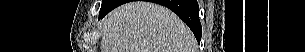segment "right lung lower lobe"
Segmentation results:
<instances>
[{
  "label": "right lung lower lobe",
  "instance_id": "1",
  "mask_svg": "<svg viewBox=\"0 0 305 52\" xmlns=\"http://www.w3.org/2000/svg\"><path fill=\"white\" fill-rule=\"evenodd\" d=\"M109 2L100 9L99 19L103 18L115 7L129 0H108ZM166 6L175 12L192 30L198 42L201 40L202 28L199 21V6L196 0H151Z\"/></svg>",
  "mask_w": 305,
  "mask_h": 52
}]
</instances>
